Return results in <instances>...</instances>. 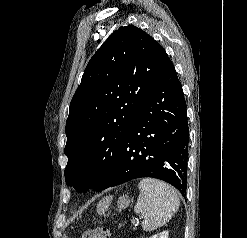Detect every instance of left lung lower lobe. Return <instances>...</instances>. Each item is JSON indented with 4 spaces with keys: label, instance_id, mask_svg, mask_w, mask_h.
<instances>
[{
    "label": "left lung lower lobe",
    "instance_id": "left-lung-lower-lobe-1",
    "mask_svg": "<svg viewBox=\"0 0 247 238\" xmlns=\"http://www.w3.org/2000/svg\"><path fill=\"white\" fill-rule=\"evenodd\" d=\"M188 142L184 93L168 58L158 83L128 131L104 189L152 177L185 194Z\"/></svg>",
    "mask_w": 247,
    "mask_h": 238
}]
</instances>
